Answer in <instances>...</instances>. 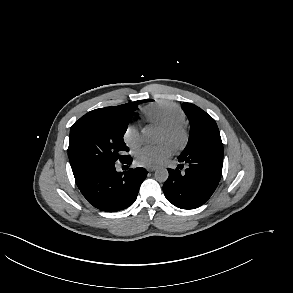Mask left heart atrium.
Here are the masks:
<instances>
[{
    "label": "left heart atrium",
    "instance_id": "39dd6f15",
    "mask_svg": "<svg viewBox=\"0 0 293 293\" xmlns=\"http://www.w3.org/2000/svg\"><path fill=\"white\" fill-rule=\"evenodd\" d=\"M172 153L173 147L167 142L156 146H145L136 152L135 162L144 167H156L168 159Z\"/></svg>",
    "mask_w": 293,
    "mask_h": 293
}]
</instances>
